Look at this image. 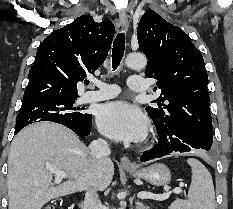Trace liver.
Listing matches in <instances>:
<instances>
[{
	"label": "liver",
	"mask_w": 233,
	"mask_h": 209,
	"mask_svg": "<svg viewBox=\"0 0 233 209\" xmlns=\"http://www.w3.org/2000/svg\"><path fill=\"white\" fill-rule=\"evenodd\" d=\"M67 174L55 186L47 166ZM114 175V164L95 159L89 149L66 127L35 123L17 134L8 156V209H41L47 202L82 190H105Z\"/></svg>",
	"instance_id": "liver-1"
}]
</instances>
